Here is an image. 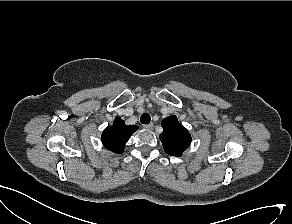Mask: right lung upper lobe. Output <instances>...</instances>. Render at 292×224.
Returning a JSON list of instances; mask_svg holds the SVG:
<instances>
[{"instance_id": "obj_1", "label": "right lung upper lobe", "mask_w": 292, "mask_h": 224, "mask_svg": "<svg viewBox=\"0 0 292 224\" xmlns=\"http://www.w3.org/2000/svg\"><path fill=\"white\" fill-rule=\"evenodd\" d=\"M136 130H138L136 125H126L120 117H116L113 125L103 131L102 144L111 152L122 153L126 142Z\"/></svg>"}]
</instances>
